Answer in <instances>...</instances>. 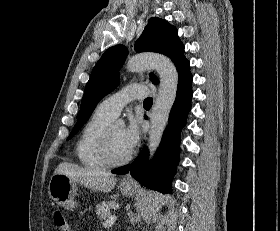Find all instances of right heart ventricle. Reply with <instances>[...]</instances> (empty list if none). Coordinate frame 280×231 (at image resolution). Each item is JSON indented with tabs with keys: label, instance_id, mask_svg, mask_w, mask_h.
Masks as SVG:
<instances>
[{
	"label": "right heart ventricle",
	"instance_id": "e07e8e85",
	"mask_svg": "<svg viewBox=\"0 0 280 231\" xmlns=\"http://www.w3.org/2000/svg\"><path fill=\"white\" fill-rule=\"evenodd\" d=\"M112 119L113 117L96 110L84 125L75 144V156L82 167L91 170L107 168L108 165L99 155L98 146L104 128Z\"/></svg>",
	"mask_w": 280,
	"mask_h": 231
}]
</instances>
